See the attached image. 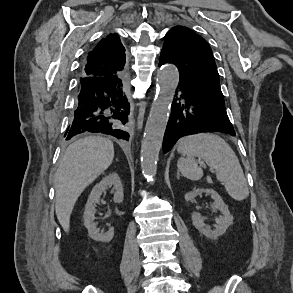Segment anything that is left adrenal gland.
Here are the masks:
<instances>
[{"mask_svg":"<svg viewBox=\"0 0 293 293\" xmlns=\"http://www.w3.org/2000/svg\"><path fill=\"white\" fill-rule=\"evenodd\" d=\"M179 178H180V172H179V170L177 171V179L179 180Z\"/></svg>","mask_w":293,"mask_h":293,"instance_id":"1","label":"left adrenal gland"}]
</instances>
